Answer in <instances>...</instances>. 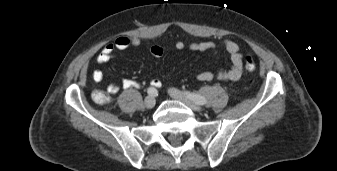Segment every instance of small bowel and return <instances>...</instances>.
<instances>
[{
  "mask_svg": "<svg viewBox=\"0 0 337 171\" xmlns=\"http://www.w3.org/2000/svg\"><path fill=\"white\" fill-rule=\"evenodd\" d=\"M141 45V40L138 37L119 36L113 42L107 43L99 55L97 56V63L102 65L109 62L113 57L115 51H123L129 48H137ZM219 46L222 47L229 55L231 65L229 69H221L216 72L202 71L197 74V79L202 82L211 81L214 79L220 81H237L243 75V55L241 48L235 41L225 39L220 42V45L212 41L193 42L189 45V49L192 51H210L216 58L219 57ZM177 50H183L185 44L182 41L175 43ZM150 52L154 57H160L163 54V49L160 46L154 45L150 48ZM92 78L95 82H101L104 79V73L101 70H94ZM155 88H160L162 81L160 78H154L151 82ZM124 89L138 88L139 83L132 79H124L121 83ZM120 89V86L116 83H110L107 86V92L109 94H116Z\"/></svg>",
  "mask_w": 337,
  "mask_h": 171,
  "instance_id": "1",
  "label": "small bowel"
}]
</instances>
